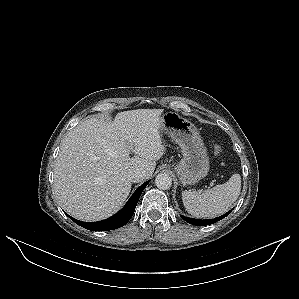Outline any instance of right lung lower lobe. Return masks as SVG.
Wrapping results in <instances>:
<instances>
[{
    "instance_id": "obj_1",
    "label": "right lung lower lobe",
    "mask_w": 299,
    "mask_h": 299,
    "mask_svg": "<svg viewBox=\"0 0 299 299\" xmlns=\"http://www.w3.org/2000/svg\"><path fill=\"white\" fill-rule=\"evenodd\" d=\"M149 181L142 184L131 196L126 205L115 215L111 216L108 219L98 221V222H83L79 221L69 215H67L70 219H72L76 224L91 230V231H108L117 229L119 227L124 226L132 217L135 207L138 203L139 197L144 190V188L148 185Z\"/></svg>"
}]
</instances>
